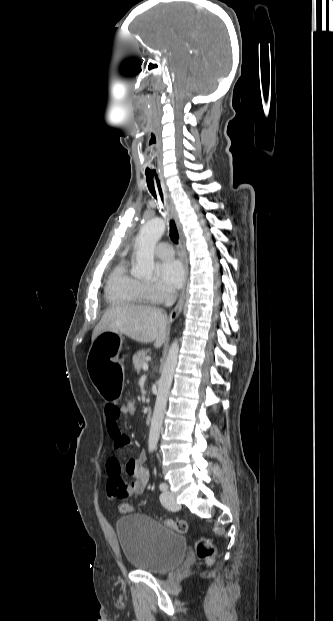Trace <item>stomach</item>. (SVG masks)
Masks as SVG:
<instances>
[{
	"instance_id": "0dacf381",
	"label": "stomach",
	"mask_w": 333,
	"mask_h": 621,
	"mask_svg": "<svg viewBox=\"0 0 333 621\" xmlns=\"http://www.w3.org/2000/svg\"><path fill=\"white\" fill-rule=\"evenodd\" d=\"M122 339L118 332H103L92 342L86 356V365L97 393L104 399L113 397L117 402L125 389Z\"/></svg>"
}]
</instances>
